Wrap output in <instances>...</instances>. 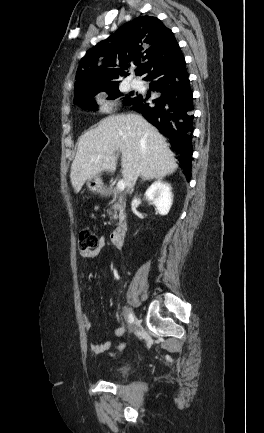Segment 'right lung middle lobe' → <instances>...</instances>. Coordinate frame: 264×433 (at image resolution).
<instances>
[{
	"label": "right lung middle lobe",
	"mask_w": 264,
	"mask_h": 433,
	"mask_svg": "<svg viewBox=\"0 0 264 433\" xmlns=\"http://www.w3.org/2000/svg\"><path fill=\"white\" fill-rule=\"evenodd\" d=\"M104 92H106L108 95L107 99L123 98L126 105H128L132 101V99L135 97V94L133 92H131L127 96H124V94L119 91L118 86L113 87L111 89H108ZM97 94L98 93L91 94V95H89V96H87V97H85L79 101H75L74 104H79L83 108L96 111L97 110V103H96L94 97Z\"/></svg>",
	"instance_id": "dd1d6c3e"
}]
</instances>
